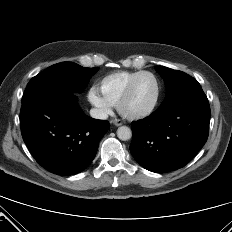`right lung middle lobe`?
Masks as SVG:
<instances>
[{
	"label": "right lung middle lobe",
	"mask_w": 232,
	"mask_h": 232,
	"mask_svg": "<svg viewBox=\"0 0 232 232\" xmlns=\"http://www.w3.org/2000/svg\"><path fill=\"white\" fill-rule=\"evenodd\" d=\"M98 70V67L84 68L72 62H61L52 65L30 80L22 100H27L35 94L46 91L82 92L90 78Z\"/></svg>",
	"instance_id": "dd1d6c3e"
}]
</instances>
